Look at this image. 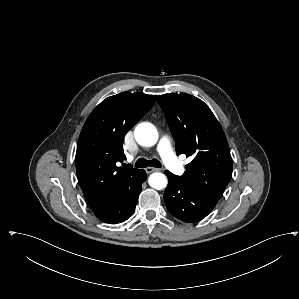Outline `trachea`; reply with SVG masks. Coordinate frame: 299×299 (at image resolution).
Wrapping results in <instances>:
<instances>
[{"instance_id":"obj_1","label":"trachea","mask_w":299,"mask_h":299,"mask_svg":"<svg viewBox=\"0 0 299 299\" xmlns=\"http://www.w3.org/2000/svg\"><path fill=\"white\" fill-rule=\"evenodd\" d=\"M156 167V168H161V163L157 159H152V160H146L144 158H139L136 163L135 167L137 168H145V167Z\"/></svg>"}]
</instances>
